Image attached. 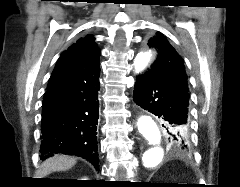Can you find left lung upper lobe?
Returning <instances> with one entry per match:
<instances>
[{
  "label": "left lung upper lobe",
  "mask_w": 240,
  "mask_h": 187,
  "mask_svg": "<svg viewBox=\"0 0 240 187\" xmlns=\"http://www.w3.org/2000/svg\"><path fill=\"white\" fill-rule=\"evenodd\" d=\"M148 45L151 48H155L158 52L157 59L149 70L163 81L179 89L189 91L182 58L170 45L164 35L157 32L155 36L148 40ZM176 130L188 140V143L190 142L188 127H176ZM188 146L189 149L190 144Z\"/></svg>",
  "instance_id": "5c2ea615"
}]
</instances>
